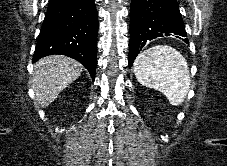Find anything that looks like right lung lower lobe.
<instances>
[{"label":"right lung lower lobe","instance_id":"98d812e1","mask_svg":"<svg viewBox=\"0 0 227 166\" xmlns=\"http://www.w3.org/2000/svg\"><path fill=\"white\" fill-rule=\"evenodd\" d=\"M98 18L94 0H49L33 62L53 54L74 58L95 79Z\"/></svg>","mask_w":227,"mask_h":166}]
</instances>
